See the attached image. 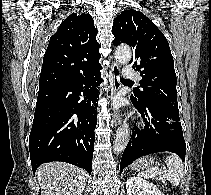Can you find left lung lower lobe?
Wrapping results in <instances>:
<instances>
[{"label": "left lung lower lobe", "mask_w": 211, "mask_h": 195, "mask_svg": "<svg viewBox=\"0 0 211 195\" xmlns=\"http://www.w3.org/2000/svg\"><path fill=\"white\" fill-rule=\"evenodd\" d=\"M131 100L142 116H147L144 119L146 126L141 130H133L122 155L120 174L127 165L151 153L169 151L185 160L186 144L179 113L156 103L140 102L133 96Z\"/></svg>", "instance_id": "left-lung-lower-lobe-1"}]
</instances>
